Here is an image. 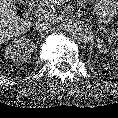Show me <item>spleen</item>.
I'll return each mask as SVG.
<instances>
[{
	"instance_id": "1",
	"label": "spleen",
	"mask_w": 118,
	"mask_h": 118,
	"mask_svg": "<svg viewBox=\"0 0 118 118\" xmlns=\"http://www.w3.org/2000/svg\"><path fill=\"white\" fill-rule=\"evenodd\" d=\"M114 53H115L116 58H118V47L115 48Z\"/></svg>"
}]
</instances>
